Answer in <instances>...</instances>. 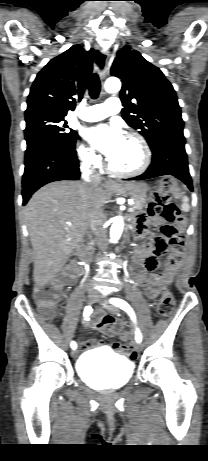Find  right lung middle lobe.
Here are the masks:
<instances>
[{
  "label": "right lung middle lobe",
  "instance_id": "obj_1",
  "mask_svg": "<svg viewBox=\"0 0 208 461\" xmlns=\"http://www.w3.org/2000/svg\"><path fill=\"white\" fill-rule=\"evenodd\" d=\"M65 116L32 115L26 116L25 139L27 142L26 152L36 146L52 142L63 146L75 148L78 134L68 130Z\"/></svg>",
  "mask_w": 208,
  "mask_h": 461
}]
</instances>
